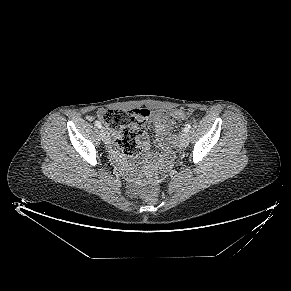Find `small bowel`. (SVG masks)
<instances>
[{
  "label": "small bowel",
  "instance_id": "c3829d8e",
  "mask_svg": "<svg viewBox=\"0 0 291 291\" xmlns=\"http://www.w3.org/2000/svg\"><path fill=\"white\" fill-rule=\"evenodd\" d=\"M151 120L155 130L154 144L157 148L163 150L165 154L150 153L147 134L144 131L138 133V143L146 159V164L142 168L140 178L147 181L154 179L160 171L170 166L172 162L171 150L173 147V122L170 116L163 110H156L152 113ZM115 157L123 168H125L126 172L132 175V172L125 166V157L118 154Z\"/></svg>",
  "mask_w": 291,
  "mask_h": 291
}]
</instances>
